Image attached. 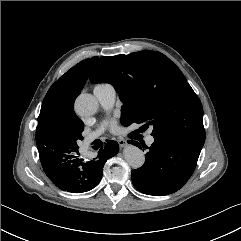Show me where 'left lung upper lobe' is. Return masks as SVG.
I'll return each instance as SVG.
<instances>
[{
  "label": "left lung upper lobe",
  "mask_w": 241,
  "mask_h": 241,
  "mask_svg": "<svg viewBox=\"0 0 241 241\" xmlns=\"http://www.w3.org/2000/svg\"><path fill=\"white\" fill-rule=\"evenodd\" d=\"M90 80L109 83L119 93L123 125H152V136L204 145L201 102L180 69L162 53L140 51L101 57Z\"/></svg>",
  "instance_id": "5c2ea615"
}]
</instances>
